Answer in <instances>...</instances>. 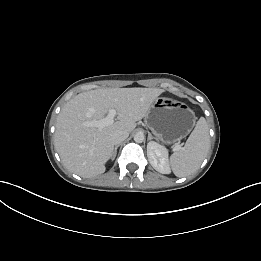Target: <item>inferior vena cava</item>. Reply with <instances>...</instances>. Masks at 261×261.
Returning <instances> with one entry per match:
<instances>
[{
    "label": "inferior vena cava",
    "instance_id": "1",
    "mask_svg": "<svg viewBox=\"0 0 261 261\" xmlns=\"http://www.w3.org/2000/svg\"><path fill=\"white\" fill-rule=\"evenodd\" d=\"M129 136V133L127 131H116L111 135V141L114 145H119L121 142H123L127 137Z\"/></svg>",
    "mask_w": 261,
    "mask_h": 261
}]
</instances>
